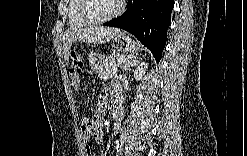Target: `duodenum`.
<instances>
[{
	"mask_svg": "<svg viewBox=\"0 0 247 156\" xmlns=\"http://www.w3.org/2000/svg\"><path fill=\"white\" fill-rule=\"evenodd\" d=\"M123 116V108L120 106H117L113 111V118L115 120H120Z\"/></svg>",
	"mask_w": 247,
	"mask_h": 156,
	"instance_id": "410a0bca",
	"label": "duodenum"
}]
</instances>
